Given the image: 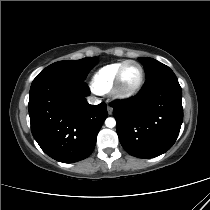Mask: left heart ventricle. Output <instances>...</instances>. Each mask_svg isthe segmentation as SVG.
Here are the masks:
<instances>
[{"label": "left heart ventricle", "instance_id": "1", "mask_svg": "<svg viewBox=\"0 0 210 210\" xmlns=\"http://www.w3.org/2000/svg\"><path fill=\"white\" fill-rule=\"evenodd\" d=\"M140 70L136 64H128L122 74V85L125 88L132 87L135 85L139 79Z\"/></svg>", "mask_w": 210, "mask_h": 210}]
</instances>
